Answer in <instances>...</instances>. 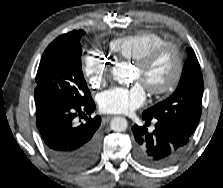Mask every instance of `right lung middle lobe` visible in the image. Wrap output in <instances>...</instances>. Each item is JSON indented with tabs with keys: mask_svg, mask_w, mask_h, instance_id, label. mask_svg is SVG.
Here are the masks:
<instances>
[{
	"mask_svg": "<svg viewBox=\"0 0 223 188\" xmlns=\"http://www.w3.org/2000/svg\"><path fill=\"white\" fill-rule=\"evenodd\" d=\"M82 30H74L56 38L44 51L37 75L35 96H49L75 103L91 98L81 68Z\"/></svg>",
	"mask_w": 223,
	"mask_h": 188,
	"instance_id": "1",
	"label": "right lung middle lobe"
}]
</instances>
